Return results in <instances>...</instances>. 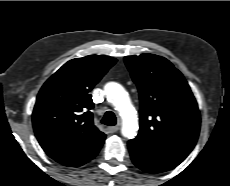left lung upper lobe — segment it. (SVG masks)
Listing matches in <instances>:
<instances>
[{"label":"left lung upper lobe","mask_w":230,"mask_h":186,"mask_svg":"<svg viewBox=\"0 0 230 186\" xmlns=\"http://www.w3.org/2000/svg\"><path fill=\"white\" fill-rule=\"evenodd\" d=\"M124 60L140 96V130L135 139L188 155L198 139L200 113L181 72L153 54Z\"/></svg>","instance_id":"1"}]
</instances>
